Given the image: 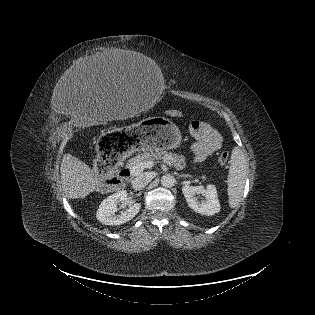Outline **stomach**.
Returning <instances> with one entry per match:
<instances>
[{"label": "stomach", "mask_w": 315, "mask_h": 315, "mask_svg": "<svg viewBox=\"0 0 315 315\" xmlns=\"http://www.w3.org/2000/svg\"><path fill=\"white\" fill-rule=\"evenodd\" d=\"M178 126L165 117H149L123 130L107 132L99 140V153L107 161L136 151L175 149L181 145Z\"/></svg>", "instance_id": "obj_1"}]
</instances>
